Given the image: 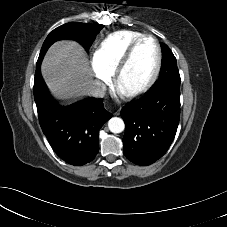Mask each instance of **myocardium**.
Wrapping results in <instances>:
<instances>
[{"instance_id":"1","label":"myocardium","mask_w":227,"mask_h":227,"mask_svg":"<svg viewBox=\"0 0 227 227\" xmlns=\"http://www.w3.org/2000/svg\"><path fill=\"white\" fill-rule=\"evenodd\" d=\"M146 38H150L154 41L155 45H156V49H157V61H156V65L154 68V71L152 72V74L150 75V77L143 82L141 85L134 87L132 89L129 90H123L120 87V80L121 77L123 75V73L125 72L126 68L128 67L132 56L137 48V46L139 45V43L141 41H143ZM161 66H162V49H161V45L158 41V39L151 34H142L139 37H137L127 48V50L125 51L124 55L122 56V58L120 59L118 65L115 68L114 71V84L115 87L125 96L127 97H135L143 92H145L150 86H152V84L156 81L160 70H161Z\"/></svg>"}]
</instances>
